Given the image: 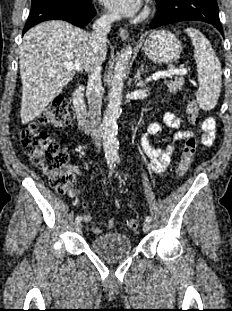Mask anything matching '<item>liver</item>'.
<instances>
[{
	"label": "liver",
	"mask_w": 232,
	"mask_h": 311,
	"mask_svg": "<svg viewBox=\"0 0 232 311\" xmlns=\"http://www.w3.org/2000/svg\"><path fill=\"white\" fill-rule=\"evenodd\" d=\"M89 34L64 21H48L30 29L20 48L22 81L21 121L35 119L73 79L76 70L68 71L65 62L77 63L90 72L94 55ZM106 46L99 55L106 58Z\"/></svg>",
	"instance_id": "liver-1"
}]
</instances>
